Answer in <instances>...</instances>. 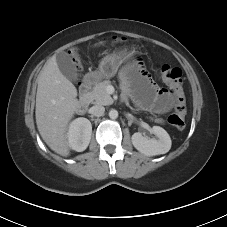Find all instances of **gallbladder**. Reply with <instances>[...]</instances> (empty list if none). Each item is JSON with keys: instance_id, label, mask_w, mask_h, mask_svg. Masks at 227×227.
Instances as JSON below:
<instances>
[{"instance_id": "1", "label": "gallbladder", "mask_w": 227, "mask_h": 227, "mask_svg": "<svg viewBox=\"0 0 227 227\" xmlns=\"http://www.w3.org/2000/svg\"><path fill=\"white\" fill-rule=\"evenodd\" d=\"M57 65L62 72V74L70 81H76L77 70L75 64L69 55L65 52H60L56 55Z\"/></svg>"}]
</instances>
